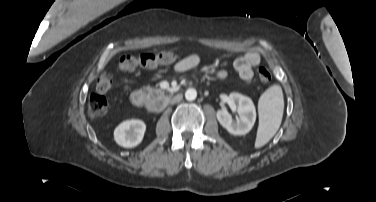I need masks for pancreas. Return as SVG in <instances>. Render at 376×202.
I'll return each mask as SVG.
<instances>
[{"label":"pancreas","mask_w":376,"mask_h":202,"mask_svg":"<svg viewBox=\"0 0 376 202\" xmlns=\"http://www.w3.org/2000/svg\"><path fill=\"white\" fill-rule=\"evenodd\" d=\"M144 91L147 93L149 98L164 97V91L162 89L152 88L148 86L144 88Z\"/></svg>","instance_id":"cf45deb5"}]
</instances>
